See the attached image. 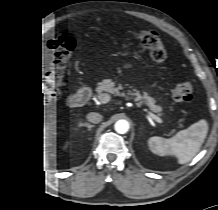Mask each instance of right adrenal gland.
I'll list each match as a JSON object with an SVG mask.
<instances>
[{"mask_svg": "<svg viewBox=\"0 0 218 210\" xmlns=\"http://www.w3.org/2000/svg\"><path fill=\"white\" fill-rule=\"evenodd\" d=\"M84 127H87V128L90 130V129L93 128L94 126H93V125H90V124H85Z\"/></svg>", "mask_w": 218, "mask_h": 210, "instance_id": "right-adrenal-gland-1", "label": "right adrenal gland"}]
</instances>
